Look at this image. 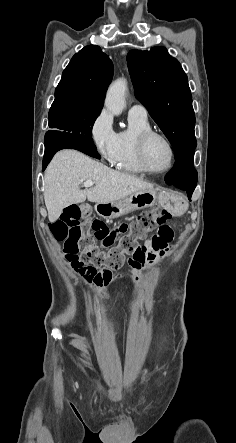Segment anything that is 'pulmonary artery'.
Masks as SVG:
<instances>
[{
    "label": "pulmonary artery",
    "mask_w": 236,
    "mask_h": 443,
    "mask_svg": "<svg viewBox=\"0 0 236 443\" xmlns=\"http://www.w3.org/2000/svg\"><path fill=\"white\" fill-rule=\"evenodd\" d=\"M129 115L137 116V117H141V118H147L148 111L144 105H142L140 103H135L129 109Z\"/></svg>",
    "instance_id": "pulmonary-artery-1"
}]
</instances>
